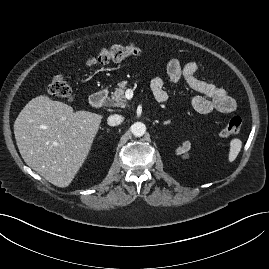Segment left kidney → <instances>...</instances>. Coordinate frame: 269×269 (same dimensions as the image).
Listing matches in <instances>:
<instances>
[{
    "mask_svg": "<svg viewBox=\"0 0 269 269\" xmlns=\"http://www.w3.org/2000/svg\"><path fill=\"white\" fill-rule=\"evenodd\" d=\"M191 148V143L190 141H184L182 146H179L177 149H176V154L177 155H182L183 154V158H188L189 157V154H188V151L190 150Z\"/></svg>",
    "mask_w": 269,
    "mask_h": 269,
    "instance_id": "obj_1",
    "label": "left kidney"
}]
</instances>
